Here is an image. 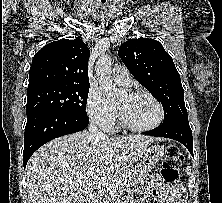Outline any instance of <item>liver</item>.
I'll list each match as a JSON object with an SVG mask.
<instances>
[{
  "label": "liver",
  "mask_w": 222,
  "mask_h": 203,
  "mask_svg": "<svg viewBox=\"0 0 222 203\" xmlns=\"http://www.w3.org/2000/svg\"><path fill=\"white\" fill-rule=\"evenodd\" d=\"M155 138H96L81 131L56 138L29 159L25 174L32 203H85L94 184L116 181Z\"/></svg>",
  "instance_id": "obj_1"
}]
</instances>
